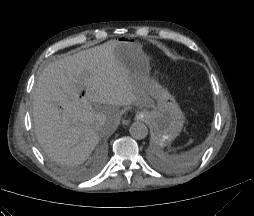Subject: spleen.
Wrapping results in <instances>:
<instances>
[{"label": "spleen", "instance_id": "obj_1", "mask_svg": "<svg viewBox=\"0 0 254 216\" xmlns=\"http://www.w3.org/2000/svg\"><path fill=\"white\" fill-rule=\"evenodd\" d=\"M160 156L167 162L173 163L175 161V155H168L167 153L160 151Z\"/></svg>", "mask_w": 254, "mask_h": 216}]
</instances>
